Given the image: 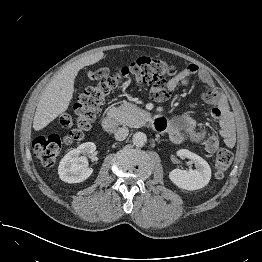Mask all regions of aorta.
Listing matches in <instances>:
<instances>
[{
    "label": "aorta",
    "mask_w": 262,
    "mask_h": 262,
    "mask_svg": "<svg viewBox=\"0 0 262 262\" xmlns=\"http://www.w3.org/2000/svg\"><path fill=\"white\" fill-rule=\"evenodd\" d=\"M133 144L137 147H143L147 143V136L143 132H136L132 137Z\"/></svg>",
    "instance_id": "obj_1"
}]
</instances>
